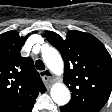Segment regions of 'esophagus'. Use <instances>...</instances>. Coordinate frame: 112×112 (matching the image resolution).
I'll use <instances>...</instances> for the list:
<instances>
[{"instance_id": "34e87169", "label": "esophagus", "mask_w": 112, "mask_h": 112, "mask_svg": "<svg viewBox=\"0 0 112 112\" xmlns=\"http://www.w3.org/2000/svg\"><path fill=\"white\" fill-rule=\"evenodd\" d=\"M41 78L44 82V84L48 87L51 86V84L54 82V77L52 76V73L50 70H44L40 73Z\"/></svg>"}]
</instances>
